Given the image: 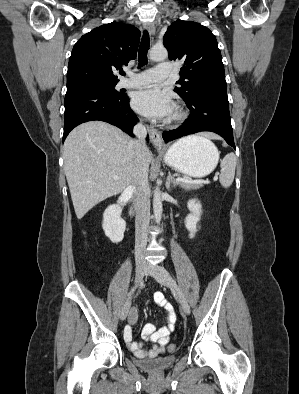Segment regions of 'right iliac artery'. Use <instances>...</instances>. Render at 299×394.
Instances as JSON below:
<instances>
[{
  "label": "right iliac artery",
  "mask_w": 299,
  "mask_h": 394,
  "mask_svg": "<svg viewBox=\"0 0 299 394\" xmlns=\"http://www.w3.org/2000/svg\"><path fill=\"white\" fill-rule=\"evenodd\" d=\"M137 287V286H136ZM136 287H134L129 293H128V298L131 296V294L134 292V290H135V288ZM127 327V326H126Z\"/></svg>",
  "instance_id": "1"
}]
</instances>
